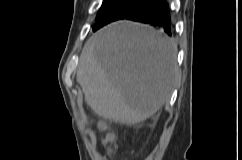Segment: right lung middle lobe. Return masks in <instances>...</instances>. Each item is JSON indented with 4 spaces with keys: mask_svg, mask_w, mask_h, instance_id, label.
<instances>
[{
    "mask_svg": "<svg viewBox=\"0 0 242 160\" xmlns=\"http://www.w3.org/2000/svg\"><path fill=\"white\" fill-rule=\"evenodd\" d=\"M148 0H104L99 11L93 31L104 25L125 18L131 11L144 4Z\"/></svg>",
    "mask_w": 242,
    "mask_h": 160,
    "instance_id": "1",
    "label": "right lung middle lobe"
}]
</instances>
